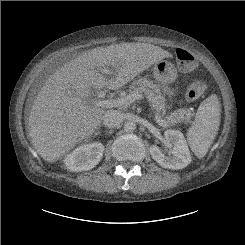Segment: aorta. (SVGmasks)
I'll use <instances>...</instances> for the list:
<instances>
[{"label":"aorta","mask_w":245,"mask_h":245,"mask_svg":"<svg viewBox=\"0 0 245 245\" xmlns=\"http://www.w3.org/2000/svg\"><path fill=\"white\" fill-rule=\"evenodd\" d=\"M123 127L126 132H133L136 129V124L134 121H127Z\"/></svg>","instance_id":"aorta-1"}]
</instances>
